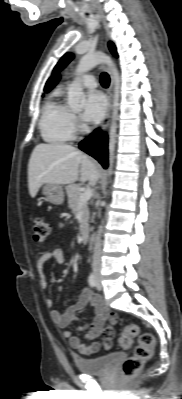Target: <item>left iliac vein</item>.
Returning a JSON list of instances; mask_svg holds the SVG:
<instances>
[{"label": "left iliac vein", "instance_id": "left-iliac-vein-1", "mask_svg": "<svg viewBox=\"0 0 182 399\" xmlns=\"http://www.w3.org/2000/svg\"><path fill=\"white\" fill-rule=\"evenodd\" d=\"M97 290H101V283H100V277L97 276V286H96Z\"/></svg>", "mask_w": 182, "mask_h": 399}]
</instances>
